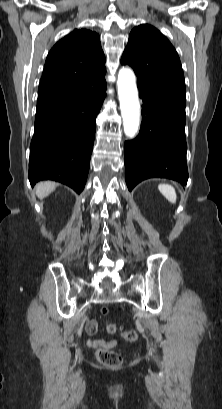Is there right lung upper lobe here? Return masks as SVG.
<instances>
[{
  "mask_svg": "<svg viewBox=\"0 0 222 409\" xmlns=\"http://www.w3.org/2000/svg\"><path fill=\"white\" fill-rule=\"evenodd\" d=\"M105 73L99 35L85 28L75 29L49 52L37 104L80 94L87 88L90 78Z\"/></svg>",
  "mask_w": 222,
  "mask_h": 409,
  "instance_id": "1",
  "label": "right lung upper lobe"
}]
</instances>
